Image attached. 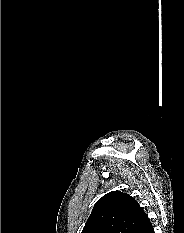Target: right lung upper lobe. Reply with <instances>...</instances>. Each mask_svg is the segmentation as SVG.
<instances>
[{"mask_svg": "<svg viewBox=\"0 0 184 233\" xmlns=\"http://www.w3.org/2000/svg\"><path fill=\"white\" fill-rule=\"evenodd\" d=\"M147 220L133 197L112 191L95 204L82 233H135Z\"/></svg>", "mask_w": 184, "mask_h": 233, "instance_id": "cb5924a9", "label": "right lung upper lobe"}]
</instances>
